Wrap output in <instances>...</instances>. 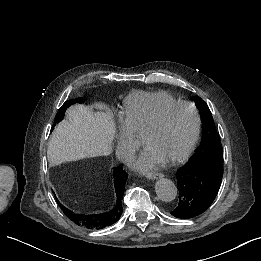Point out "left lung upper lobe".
Returning a JSON list of instances; mask_svg holds the SVG:
<instances>
[{
    "mask_svg": "<svg viewBox=\"0 0 261 261\" xmlns=\"http://www.w3.org/2000/svg\"><path fill=\"white\" fill-rule=\"evenodd\" d=\"M195 104L200 112L203 125L202 140L191 159L214 157L215 159L223 160V149L211 111L209 110L208 105L200 97H196Z\"/></svg>",
    "mask_w": 261,
    "mask_h": 261,
    "instance_id": "1",
    "label": "left lung upper lobe"
}]
</instances>
